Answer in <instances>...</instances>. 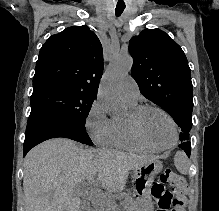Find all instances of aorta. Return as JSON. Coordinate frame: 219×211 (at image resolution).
<instances>
[{
  "mask_svg": "<svg viewBox=\"0 0 219 211\" xmlns=\"http://www.w3.org/2000/svg\"><path fill=\"white\" fill-rule=\"evenodd\" d=\"M132 64L130 55H119L111 61L105 71L99 98L112 116H119L124 112V106L119 99V83L131 70Z\"/></svg>",
  "mask_w": 219,
  "mask_h": 211,
  "instance_id": "1",
  "label": "aorta"
}]
</instances>
